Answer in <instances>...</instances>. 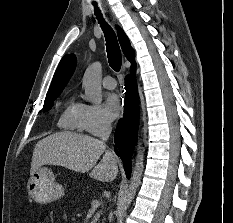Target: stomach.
<instances>
[{"label": "stomach", "instance_id": "obj_1", "mask_svg": "<svg viewBox=\"0 0 233 223\" xmlns=\"http://www.w3.org/2000/svg\"><path fill=\"white\" fill-rule=\"evenodd\" d=\"M30 197L37 203H51L65 195L62 183H58L50 167H38L27 181Z\"/></svg>", "mask_w": 233, "mask_h": 223}]
</instances>
